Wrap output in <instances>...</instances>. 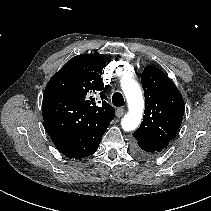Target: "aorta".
<instances>
[{"label":"aorta","mask_w":211,"mask_h":211,"mask_svg":"<svg viewBox=\"0 0 211 211\" xmlns=\"http://www.w3.org/2000/svg\"><path fill=\"white\" fill-rule=\"evenodd\" d=\"M121 87L128 103V113L122 118L121 126L124 131L135 130L142 119L144 100L138 83L128 76L121 79Z\"/></svg>","instance_id":"1"}]
</instances>
